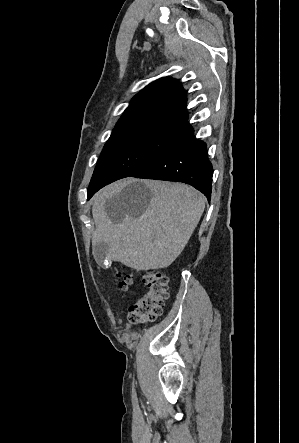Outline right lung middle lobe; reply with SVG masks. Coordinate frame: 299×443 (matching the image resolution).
I'll return each instance as SVG.
<instances>
[{
  "instance_id": "right-lung-middle-lobe-1",
  "label": "right lung middle lobe",
  "mask_w": 299,
  "mask_h": 443,
  "mask_svg": "<svg viewBox=\"0 0 299 443\" xmlns=\"http://www.w3.org/2000/svg\"><path fill=\"white\" fill-rule=\"evenodd\" d=\"M183 129V122L148 120L112 132L93 173L88 196L142 168L172 144Z\"/></svg>"
}]
</instances>
